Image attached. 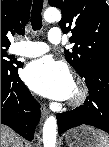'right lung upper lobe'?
<instances>
[{
    "instance_id": "1",
    "label": "right lung upper lobe",
    "mask_w": 109,
    "mask_h": 147,
    "mask_svg": "<svg viewBox=\"0 0 109 147\" xmlns=\"http://www.w3.org/2000/svg\"><path fill=\"white\" fill-rule=\"evenodd\" d=\"M31 0H1V48H8V33H22L30 16Z\"/></svg>"
}]
</instances>
